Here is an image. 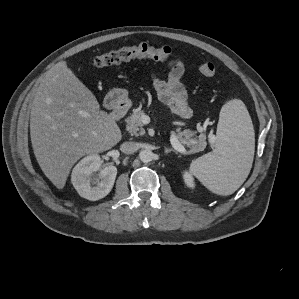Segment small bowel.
Instances as JSON below:
<instances>
[{
	"label": "small bowel",
	"mask_w": 299,
	"mask_h": 299,
	"mask_svg": "<svg viewBox=\"0 0 299 299\" xmlns=\"http://www.w3.org/2000/svg\"><path fill=\"white\" fill-rule=\"evenodd\" d=\"M168 67L167 80H161L156 76L151 77L158 99L168 106L174 114L189 119L192 116V110L187 104V93L182 83L184 65L179 60H173L168 64Z\"/></svg>",
	"instance_id": "c3829d8e"
}]
</instances>
